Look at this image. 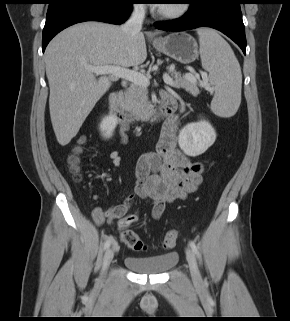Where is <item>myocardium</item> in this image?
Wrapping results in <instances>:
<instances>
[{
  "label": "myocardium",
  "mask_w": 290,
  "mask_h": 321,
  "mask_svg": "<svg viewBox=\"0 0 290 321\" xmlns=\"http://www.w3.org/2000/svg\"><path fill=\"white\" fill-rule=\"evenodd\" d=\"M189 3L187 0H181L170 7H156L154 14L163 20H174L185 15L189 10Z\"/></svg>",
  "instance_id": "myocardium-1"
}]
</instances>
